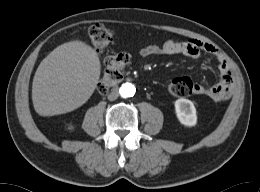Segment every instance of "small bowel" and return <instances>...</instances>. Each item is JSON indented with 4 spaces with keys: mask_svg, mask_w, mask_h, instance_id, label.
<instances>
[{
    "mask_svg": "<svg viewBox=\"0 0 260 192\" xmlns=\"http://www.w3.org/2000/svg\"><path fill=\"white\" fill-rule=\"evenodd\" d=\"M138 54L143 58L152 55L181 54L194 59H199L203 54H208L217 63L220 81L209 87L194 83L193 93L207 96L215 101L227 100L231 96L234 86L232 72L221 53L209 43L198 39H188L184 41L168 40L161 46H145L138 51Z\"/></svg>",
    "mask_w": 260,
    "mask_h": 192,
    "instance_id": "small-bowel-1",
    "label": "small bowel"
}]
</instances>
